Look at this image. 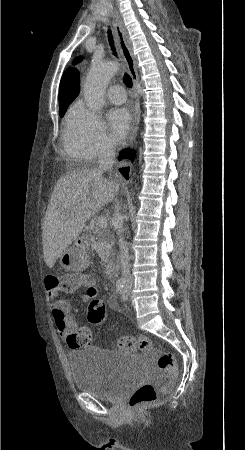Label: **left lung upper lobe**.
<instances>
[{
    "mask_svg": "<svg viewBox=\"0 0 245 450\" xmlns=\"http://www.w3.org/2000/svg\"><path fill=\"white\" fill-rule=\"evenodd\" d=\"M81 60H82V57H79V58L75 59L74 63H78Z\"/></svg>",
    "mask_w": 245,
    "mask_h": 450,
    "instance_id": "1",
    "label": "left lung upper lobe"
}]
</instances>
